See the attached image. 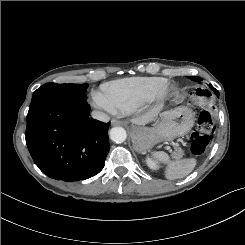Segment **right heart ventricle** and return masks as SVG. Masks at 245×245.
I'll list each match as a JSON object with an SVG mask.
<instances>
[{"mask_svg": "<svg viewBox=\"0 0 245 245\" xmlns=\"http://www.w3.org/2000/svg\"><path fill=\"white\" fill-rule=\"evenodd\" d=\"M166 83L163 77H130L101 86V94L116 113L128 114L150 100Z\"/></svg>", "mask_w": 245, "mask_h": 245, "instance_id": "obj_1", "label": "right heart ventricle"}]
</instances>
